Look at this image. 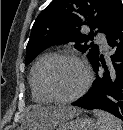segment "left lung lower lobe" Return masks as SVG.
Instances as JSON below:
<instances>
[{
  "label": "left lung lower lobe",
  "mask_w": 123,
  "mask_h": 130,
  "mask_svg": "<svg viewBox=\"0 0 123 130\" xmlns=\"http://www.w3.org/2000/svg\"><path fill=\"white\" fill-rule=\"evenodd\" d=\"M112 48L111 62L99 55L91 62L96 75L90 91L81 100L72 103L84 109H102L123 120V12L114 29L106 37Z\"/></svg>",
  "instance_id": "1"
}]
</instances>
